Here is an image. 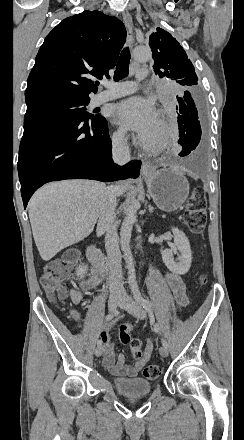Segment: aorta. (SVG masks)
Instances as JSON below:
<instances>
[{
    "instance_id": "obj_1",
    "label": "aorta",
    "mask_w": 244,
    "mask_h": 440,
    "mask_svg": "<svg viewBox=\"0 0 244 440\" xmlns=\"http://www.w3.org/2000/svg\"><path fill=\"white\" fill-rule=\"evenodd\" d=\"M133 57L139 62L147 61L151 57V51L149 48L139 46L134 49ZM138 208L139 201L133 197L128 205L126 216L122 222L120 230L121 250L123 251L124 259L126 261V267L128 269V281L130 285L136 284V274L130 248V240L133 225L137 219Z\"/></svg>"
}]
</instances>
